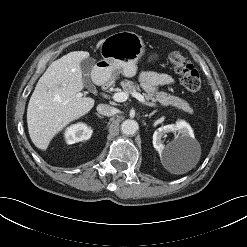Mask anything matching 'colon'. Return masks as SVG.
<instances>
[{
  "mask_svg": "<svg viewBox=\"0 0 247 247\" xmlns=\"http://www.w3.org/2000/svg\"><path fill=\"white\" fill-rule=\"evenodd\" d=\"M168 59L173 69L181 76L183 86L190 92L199 91L201 88L200 74L189 59L176 51L171 52Z\"/></svg>",
  "mask_w": 247,
  "mask_h": 247,
  "instance_id": "obj_1",
  "label": "colon"
}]
</instances>
